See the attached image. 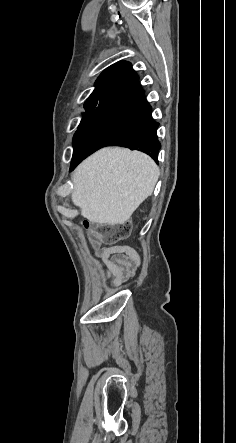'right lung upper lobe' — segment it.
<instances>
[{"label": "right lung upper lobe", "instance_id": "obj_1", "mask_svg": "<svg viewBox=\"0 0 236 443\" xmlns=\"http://www.w3.org/2000/svg\"><path fill=\"white\" fill-rule=\"evenodd\" d=\"M138 80V75L132 69L131 63L117 62L101 73L95 83V90L86 102L106 100L108 97L132 87Z\"/></svg>", "mask_w": 236, "mask_h": 443}]
</instances>
